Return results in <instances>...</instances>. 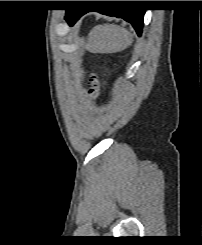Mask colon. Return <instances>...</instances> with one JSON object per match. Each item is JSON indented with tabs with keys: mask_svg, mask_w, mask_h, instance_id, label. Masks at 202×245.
<instances>
[{
	"mask_svg": "<svg viewBox=\"0 0 202 245\" xmlns=\"http://www.w3.org/2000/svg\"><path fill=\"white\" fill-rule=\"evenodd\" d=\"M105 84V81L100 76L91 74V79L88 85L89 95L94 98L98 97L102 93Z\"/></svg>",
	"mask_w": 202,
	"mask_h": 245,
	"instance_id": "obj_1",
	"label": "colon"
}]
</instances>
